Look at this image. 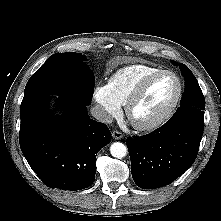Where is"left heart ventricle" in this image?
<instances>
[{
  "instance_id": "b2bd125f",
  "label": "left heart ventricle",
  "mask_w": 221,
  "mask_h": 221,
  "mask_svg": "<svg viewBox=\"0 0 221 221\" xmlns=\"http://www.w3.org/2000/svg\"><path fill=\"white\" fill-rule=\"evenodd\" d=\"M176 90L177 84L171 75H162L154 79L134 106L132 121L145 123L158 117L171 103Z\"/></svg>"
}]
</instances>
